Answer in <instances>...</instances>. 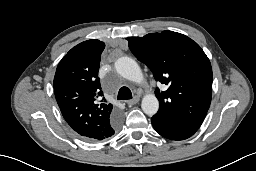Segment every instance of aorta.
<instances>
[{
  "label": "aorta",
  "mask_w": 256,
  "mask_h": 171,
  "mask_svg": "<svg viewBox=\"0 0 256 171\" xmlns=\"http://www.w3.org/2000/svg\"><path fill=\"white\" fill-rule=\"evenodd\" d=\"M115 69L122 77L140 83L143 81V73L138 63L127 56L120 57L115 62ZM141 108L148 116H153L159 108V101L154 94H146L141 103Z\"/></svg>",
  "instance_id": "762f6f07"
}]
</instances>
